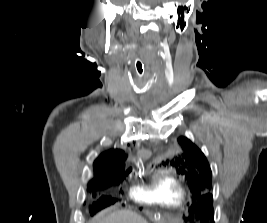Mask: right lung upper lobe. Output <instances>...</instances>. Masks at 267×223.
Returning a JSON list of instances; mask_svg holds the SVG:
<instances>
[{"label":"right lung upper lobe","instance_id":"cb5924a9","mask_svg":"<svg viewBox=\"0 0 267 223\" xmlns=\"http://www.w3.org/2000/svg\"><path fill=\"white\" fill-rule=\"evenodd\" d=\"M124 152L122 150H110L102 153L99 158L94 162L95 179L91 182L100 184L101 180L113 175L122 174L127 175L125 172V163L123 161Z\"/></svg>","mask_w":267,"mask_h":223}]
</instances>
